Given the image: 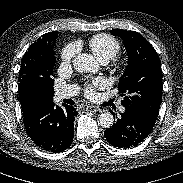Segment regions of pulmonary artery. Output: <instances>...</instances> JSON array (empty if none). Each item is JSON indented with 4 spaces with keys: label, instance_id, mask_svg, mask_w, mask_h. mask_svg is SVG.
<instances>
[{
    "label": "pulmonary artery",
    "instance_id": "1",
    "mask_svg": "<svg viewBox=\"0 0 183 183\" xmlns=\"http://www.w3.org/2000/svg\"><path fill=\"white\" fill-rule=\"evenodd\" d=\"M102 63H106V62H102ZM76 93H77V88L74 85H64V86L58 87L55 90L54 98L58 102V101H61L62 99L70 98L74 96ZM124 111H125V107H120V112L123 113Z\"/></svg>",
    "mask_w": 183,
    "mask_h": 183
}]
</instances>
